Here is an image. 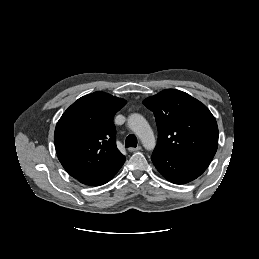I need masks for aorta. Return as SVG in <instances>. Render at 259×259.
<instances>
[{
    "mask_svg": "<svg viewBox=\"0 0 259 259\" xmlns=\"http://www.w3.org/2000/svg\"><path fill=\"white\" fill-rule=\"evenodd\" d=\"M128 126L139 137L145 149H154L156 145L154 133L142 115L137 113L131 114L128 117Z\"/></svg>",
    "mask_w": 259,
    "mask_h": 259,
    "instance_id": "762f6f07",
    "label": "aorta"
}]
</instances>
